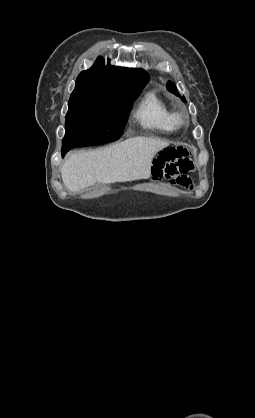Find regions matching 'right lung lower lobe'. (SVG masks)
Segmentation results:
<instances>
[{
	"label": "right lung lower lobe",
	"instance_id": "98d812e1",
	"mask_svg": "<svg viewBox=\"0 0 255 418\" xmlns=\"http://www.w3.org/2000/svg\"><path fill=\"white\" fill-rule=\"evenodd\" d=\"M71 148L62 146V156L66 154Z\"/></svg>",
	"mask_w": 255,
	"mask_h": 418
}]
</instances>
